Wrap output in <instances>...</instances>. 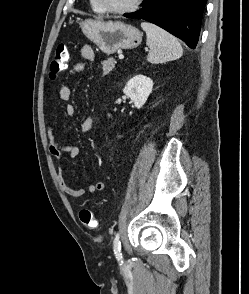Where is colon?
I'll use <instances>...</instances> for the list:
<instances>
[{
    "mask_svg": "<svg viewBox=\"0 0 249 294\" xmlns=\"http://www.w3.org/2000/svg\"><path fill=\"white\" fill-rule=\"evenodd\" d=\"M68 62V47L64 44L58 45L53 55L49 67V76L57 78L65 69ZM80 222L89 229L97 227L98 223L93 212L87 208L80 209L78 212Z\"/></svg>",
    "mask_w": 249,
    "mask_h": 294,
    "instance_id": "colon-1",
    "label": "colon"
}]
</instances>
